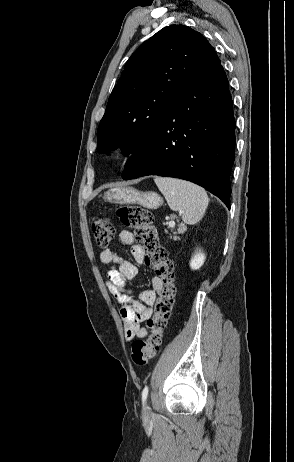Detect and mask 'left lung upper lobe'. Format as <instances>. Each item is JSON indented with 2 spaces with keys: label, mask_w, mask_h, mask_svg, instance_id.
<instances>
[{
  "label": "left lung upper lobe",
  "mask_w": 294,
  "mask_h": 462,
  "mask_svg": "<svg viewBox=\"0 0 294 462\" xmlns=\"http://www.w3.org/2000/svg\"><path fill=\"white\" fill-rule=\"evenodd\" d=\"M219 63L199 32L184 25L161 29L126 62L98 127V150L134 153L155 134L179 94Z\"/></svg>",
  "instance_id": "1"
}]
</instances>
